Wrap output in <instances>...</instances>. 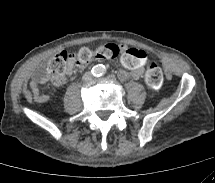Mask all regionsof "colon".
<instances>
[{"label": "colon", "mask_w": 215, "mask_h": 183, "mask_svg": "<svg viewBox=\"0 0 215 183\" xmlns=\"http://www.w3.org/2000/svg\"><path fill=\"white\" fill-rule=\"evenodd\" d=\"M121 52L122 48L115 44L101 45L95 50L81 48L74 54L61 51L49 61L48 72L53 77L62 78L67 74L71 64L84 67L93 61H110L116 58ZM145 81L153 89L159 88L162 84V70L154 58L148 61Z\"/></svg>", "instance_id": "obj_1"}]
</instances>
